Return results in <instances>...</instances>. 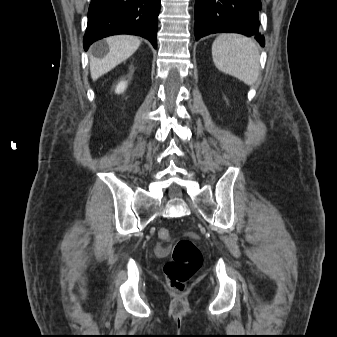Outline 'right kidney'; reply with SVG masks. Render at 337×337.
I'll list each match as a JSON object with an SVG mask.
<instances>
[{
  "label": "right kidney",
  "mask_w": 337,
  "mask_h": 337,
  "mask_svg": "<svg viewBox=\"0 0 337 337\" xmlns=\"http://www.w3.org/2000/svg\"><path fill=\"white\" fill-rule=\"evenodd\" d=\"M126 87H127V83H126L125 81H121V82L117 85V87H116V89H115V92H116L117 94L123 93V92L125 91Z\"/></svg>",
  "instance_id": "1"
}]
</instances>
